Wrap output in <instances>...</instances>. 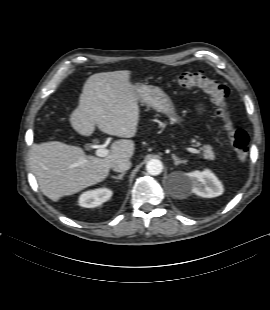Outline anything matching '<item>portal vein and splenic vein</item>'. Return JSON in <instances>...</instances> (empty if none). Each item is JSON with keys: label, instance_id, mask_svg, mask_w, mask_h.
<instances>
[{"label": "portal vein and splenic vein", "instance_id": "18ae733b", "mask_svg": "<svg viewBox=\"0 0 270 310\" xmlns=\"http://www.w3.org/2000/svg\"><path fill=\"white\" fill-rule=\"evenodd\" d=\"M187 150L193 154H200V150L195 149V148H187ZM96 156L99 157H105L109 154V150L103 148V147H98L97 150L95 151Z\"/></svg>", "mask_w": 270, "mask_h": 310}]
</instances>
